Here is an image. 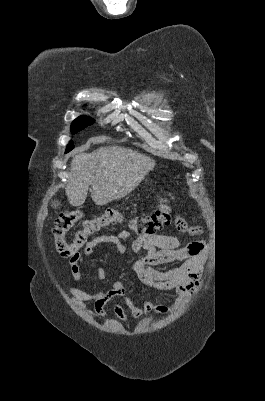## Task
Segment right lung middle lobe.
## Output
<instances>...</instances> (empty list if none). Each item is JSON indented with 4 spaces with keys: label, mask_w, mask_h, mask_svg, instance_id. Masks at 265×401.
Segmentation results:
<instances>
[{
    "label": "right lung middle lobe",
    "mask_w": 265,
    "mask_h": 401,
    "mask_svg": "<svg viewBox=\"0 0 265 401\" xmlns=\"http://www.w3.org/2000/svg\"><path fill=\"white\" fill-rule=\"evenodd\" d=\"M93 123H94V120L92 118H90L88 116H84V115L79 116L71 124V133L75 134ZM73 147L74 146H72L71 144L68 145L66 152L71 151Z\"/></svg>",
    "instance_id": "1"
}]
</instances>
